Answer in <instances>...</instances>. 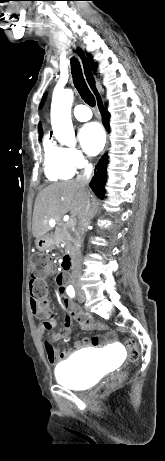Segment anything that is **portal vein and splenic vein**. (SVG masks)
<instances>
[{"mask_svg": "<svg viewBox=\"0 0 165 461\" xmlns=\"http://www.w3.org/2000/svg\"><path fill=\"white\" fill-rule=\"evenodd\" d=\"M68 224H69L70 226H73V225L75 224L74 219H70V220L68 221Z\"/></svg>", "mask_w": 165, "mask_h": 461, "instance_id": "1", "label": "portal vein and splenic vein"}]
</instances>
